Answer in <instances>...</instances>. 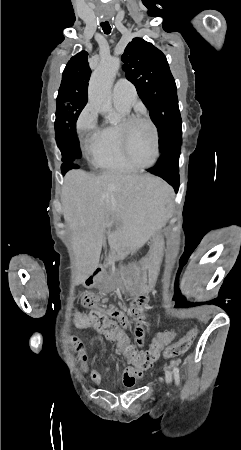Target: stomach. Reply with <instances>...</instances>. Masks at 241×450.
<instances>
[{
	"instance_id": "1",
	"label": "stomach",
	"mask_w": 241,
	"mask_h": 450,
	"mask_svg": "<svg viewBox=\"0 0 241 450\" xmlns=\"http://www.w3.org/2000/svg\"><path fill=\"white\" fill-rule=\"evenodd\" d=\"M164 253V240L161 234H157L150 245V249L146 257L141 261V273L137 281V290L145 292L151 290L157 280L159 274V268ZM132 274L129 276L116 277L114 279V286L127 282L134 284L135 281L132 278Z\"/></svg>"
}]
</instances>
